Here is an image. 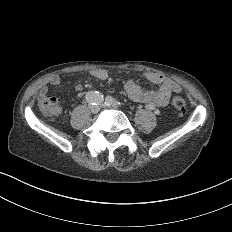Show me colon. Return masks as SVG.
I'll use <instances>...</instances> for the list:
<instances>
[{
    "label": "colon",
    "instance_id": "1",
    "mask_svg": "<svg viewBox=\"0 0 232 232\" xmlns=\"http://www.w3.org/2000/svg\"><path fill=\"white\" fill-rule=\"evenodd\" d=\"M39 100L42 113H59V108H54V105H52V98L40 96ZM171 102H173V107H178V109L175 110L176 114L187 113V110L183 109V107H186L185 97L183 94H180V90H175V94L171 97ZM48 119H61V114H48Z\"/></svg>",
    "mask_w": 232,
    "mask_h": 232
}]
</instances>
